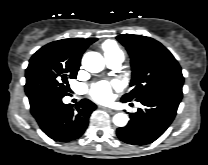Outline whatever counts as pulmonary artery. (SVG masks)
Instances as JSON below:
<instances>
[{
    "instance_id": "obj_1",
    "label": "pulmonary artery",
    "mask_w": 208,
    "mask_h": 165,
    "mask_svg": "<svg viewBox=\"0 0 208 165\" xmlns=\"http://www.w3.org/2000/svg\"><path fill=\"white\" fill-rule=\"evenodd\" d=\"M106 63L111 68H118L123 62V57L118 54L105 56Z\"/></svg>"
}]
</instances>
